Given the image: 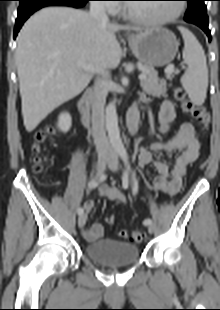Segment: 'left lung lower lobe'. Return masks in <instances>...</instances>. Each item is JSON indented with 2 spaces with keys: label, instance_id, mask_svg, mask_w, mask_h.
<instances>
[{
  "label": "left lung lower lobe",
  "instance_id": "obj_1",
  "mask_svg": "<svg viewBox=\"0 0 220 310\" xmlns=\"http://www.w3.org/2000/svg\"><path fill=\"white\" fill-rule=\"evenodd\" d=\"M198 27H200L208 36L209 41H211V34H210V30L208 28V25L206 24H195Z\"/></svg>",
  "mask_w": 220,
  "mask_h": 310
}]
</instances>
